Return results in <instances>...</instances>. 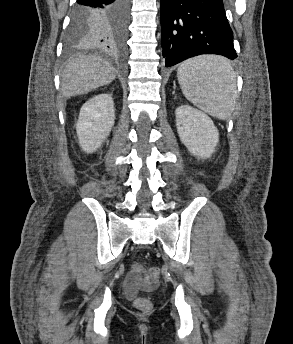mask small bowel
<instances>
[{
    "mask_svg": "<svg viewBox=\"0 0 293 344\" xmlns=\"http://www.w3.org/2000/svg\"><path fill=\"white\" fill-rule=\"evenodd\" d=\"M123 291L127 297H133L136 294L137 285L135 283V280L131 277L130 274L127 275L126 277Z\"/></svg>",
    "mask_w": 293,
    "mask_h": 344,
    "instance_id": "obj_1",
    "label": "small bowel"
}]
</instances>
